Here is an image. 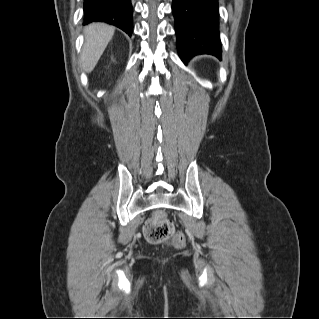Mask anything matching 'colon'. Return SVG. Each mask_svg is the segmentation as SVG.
I'll list each match as a JSON object with an SVG mask.
<instances>
[{
  "mask_svg": "<svg viewBox=\"0 0 319 319\" xmlns=\"http://www.w3.org/2000/svg\"><path fill=\"white\" fill-rule=\"evenodd\" d=\"M144 232L151 243L171 242L178 248L184 247L186 244L185 236L181 232H175L172 221L162 214H155L148 219L144 226Z\"/></svg>",
  "mask_w": 319,
  "mask_h": 319,
  "instance_id": "obj_1",
  "label": "colon"
}]
</instances>
